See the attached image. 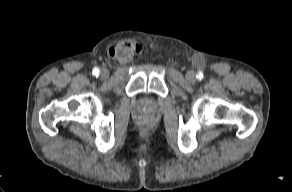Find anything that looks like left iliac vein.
<instances>
[{
    "label": "left iliac vein",
    "mask_w": 292,
    "mask_h": 192,
    "mask_svg": "<svg viewBox=\"0 0 292 192\" xmlns=\"http://www.w3.org/2000/svg\"><path fill=\"white\" fill-rule=\"evenodd\" d=\"M186 78L188 79L189 82L194 83L196 81V75L193 71H188L186 73Z\"/></svg>",
    "instance_id": "4c4485c4"
}]
</instances>
